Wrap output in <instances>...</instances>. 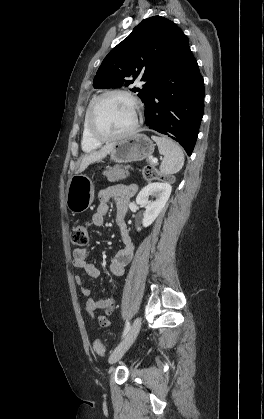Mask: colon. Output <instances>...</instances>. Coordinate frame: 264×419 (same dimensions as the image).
I'll list each match as a JSON object with an SVG mask.
<instances>
[{
    "instance_id": "colon-1",
    "label": "colon",
    "mask_w": 264,
    "mask_h": 419,
    "mask_svg": "<svg viewBox=\"0 0 264 419\" xmlns=\"http://www.w3.org/2000/svg\"><path fill=\"white\" fill-rule=\"evenodd\" d=\"M142 175L146 180H161L168 181V177L161 175L158 170L152 166H145L142 169ZM89 228L88 222H81L73 226L70 232V239L74 245L85 246L89 239ZM93 350L99 356L105 355V348L100 340H95L93 343Z\"/></svg>"
}]
</instances>
